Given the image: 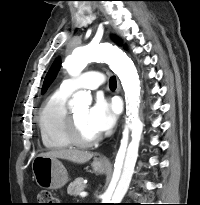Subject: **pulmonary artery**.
<instances>
[{
    "label": "pulmonary artery",
    "instance_id": "obj_1",
    "mask_svg": "<svg viewBox=\"0 0 200 205\" xmlns=\"http://www.w3.org/2000/svg\"><path fill=\"white\" fill-rule=\"evenodd\" d=\"M104 83V76L98 71H88L77 78H69L61 83L60 89L72 94L80 89H97Z\"/></svg>",
    "mask_w": 200,
    "mask_h": 205
}]
</instances>
